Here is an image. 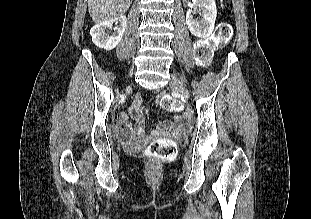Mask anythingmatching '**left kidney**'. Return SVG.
<instances>
[{"instance_id": "left-kidney-1", "label": "left kidney", "mask_w": 311, "mask_h": 219, "mask_svg": "<svg viewBox=\"0 0 311 219\" xmlns=\"http://www.w3.org/2000/svg\"><path fill=\"white\" fill-rule=\"evenodd\" d=\"M198 7L201 20L194 19L195 11L189 10L186 14V23L190 32L199 38L210 36L214 30L217 17L215 0H192Z\"/></svg>"}]
</instances>
